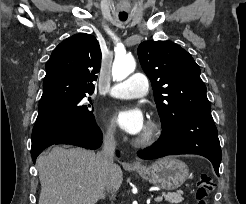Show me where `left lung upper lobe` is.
Segmentation results:
<instances>
[{
	"instance_id": "obj_1",
	"label": "left lung upper lobe",
	"mask_w": 246,
	"mask_h": 204,
	"mask_svg": "<svg viewBox=\"0 0 246 204\" xmlns=\"http://www.w3.org/2000/svg\"><path fill=\"white\" fill-rule=\"evenodd\" d=\"M137 53L152 82L162 128L178 118L210 114L200 67L186 50L170 41H144Z\"/></svg>"
}]
</instances>
